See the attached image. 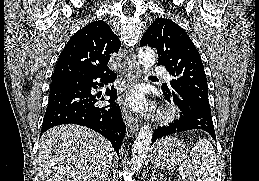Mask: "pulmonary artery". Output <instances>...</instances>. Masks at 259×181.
Masks as SVG:
<instances>
[{
  "mask_svg": "<svg viewBox=\"0 0 259 181\" xmlns=\"http://www.w3.org/2000/svg\"><path fill=\"white\" fill-rule=\"evenodd\" d=\"M154 71L160 73L167 81L172 80V76L161 67H155Z\"/></svg>",
  "mask_w": 259,
  "mask_h": 181,
  "instance_id": "pulmonary-artery-1",
  "label": "pulmonary artery"
}]
</instances>
